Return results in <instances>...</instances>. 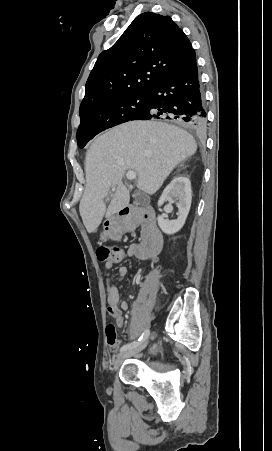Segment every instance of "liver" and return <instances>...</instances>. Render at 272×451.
Masks as SVG:
<instances>
[{"instance_id": "6515ba94", "label": "liver", "mask_w": 272, "mask_h": 451, "mask_svg": "<svg viewBox=\"0 0 272 451\" xmlns=\"http://www.w3.org/2000/svg\"><path fill=\"white\" fill-rule=\"evenodd\" d=\"M197 144L186 130L165 122H126L96 138L85 158L86 186L79 210L89 233L104 216L110 218L129 204L130 194L122 180L126 170L138 174L137 188L155 194L177 164L193 156ZM116 192L106 208L110 188Z\"/></svg>"}]
</instances>
